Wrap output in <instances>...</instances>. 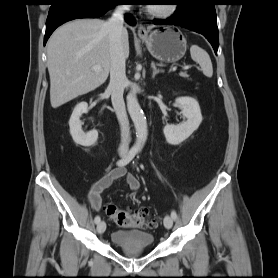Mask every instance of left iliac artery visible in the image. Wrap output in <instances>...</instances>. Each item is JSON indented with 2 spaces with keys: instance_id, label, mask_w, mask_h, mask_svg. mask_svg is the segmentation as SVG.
<instances>
[{
  "instance_id": "left-iliac-artery-1",
  "label": "left iliac artery",
  "mask_w": 278,
  "mask_h": 278,
  "mask_svg": "<svg viewBox=\"0 0 278 278\" xmlns=\"http://www.w3.org/2000/svg\"><path fill=\"white\" fill-rule=\"evenodd\" d=\"M171 217L173 218V220L177 219V213L174 210L171 212Z\"/></svg>"
}]
</instances>
